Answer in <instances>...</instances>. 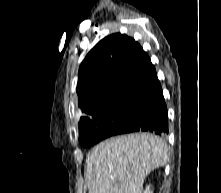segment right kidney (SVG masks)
Segmentation results:
<instances>
[{
	"label": "right kidney",
	"instance_id": "ca27d5eb",
	"mask_svg": "<svg viewBox=\"0 0 221 193\" xmlns=\"http://www.w3.org/2000/svg\"><path fill=\"white\" fill-rule=\"evenodd\" d=\"M144 193H153L152 191H150V186L146 187V190L144 191Z\"/></svg>",
	"mask_w": 221,
	"mask_h": 193
}]
</instances>
